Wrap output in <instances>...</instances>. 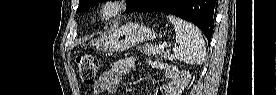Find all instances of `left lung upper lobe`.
I'll list each match as a JSON object with an SVG mask.
<instances>
[{
  "instance_id": "left-lung-upper-lobe-1",
  "label": "left lung upper lobe",
  "mask_w": 277,
  "mask_h": 95,
  "mask_svg": "<svg viewBox=\"0 0 277 95\" xmlns=\"http://www.w3.org/2000/svg\"><path fill=\"white\" fill-rule=\"evenodd\" d=\"M101 0H79V7L76 13L84 12L93 5L97 4ZM105 1V0H104ZM147 0H127L126 12H135L138 10Z\"/></svg>"
}]
</instances>
